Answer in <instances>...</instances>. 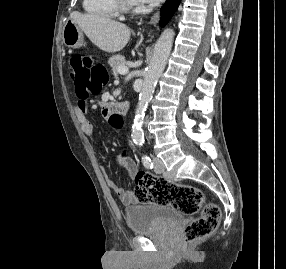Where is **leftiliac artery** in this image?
Returning <instances> with one entry per match:
<instances>
[{
    "label": "left iliac artery",
    "mask_w": 286,
    "mask_h": 269,
    "mask_svg": "<svg viewBox=\"0 0 286 269\" xmlns=\"http://www.w3.org/2000/svg\"><path fill=\"white\" fill-rule=\"evenodd\" d=\"M142 162H143V165L147 168V169H152L153 168V163L150 159L149 156H143L142 157Z\"/></svg>",
    "instance_id": "44dca946"
}]
</instances>
